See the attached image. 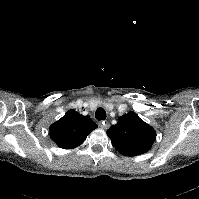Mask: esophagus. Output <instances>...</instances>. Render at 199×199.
Returning a JSON list of instances; mask_svg holds the SVG:
<instances>
[{"label":"esophagus","instance_id":"obj_1","mask_svg":"<svg viewBox=\"0 0 199 199\" xmlns=\"http://www.w3.org/2000/svg\"><path fill=\"white\" fill-rule=\"evenodd\" d=\"M99 127L101 129H108L110 127V124L107 122V121H102V122H99Z\"/></svg>","mask_w":199,"mask_h":199}]
</instances>
